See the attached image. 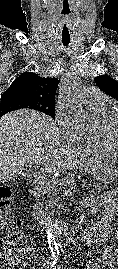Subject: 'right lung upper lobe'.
I'll list each match as a JSON object with an SVG mask.
<instances>
[{
	"instance_id": "cb5924a9",
	"label": "right lung upper lobe",
	"mask_w": 118,
	"mask_h": 269,
	"mask_svg": "<svg viewBox=\"0 0 118 269\" xmlns=\"http://www.w3.org/2000/svg\"><path fill=\"white\" fill-rule=\"evenodd\" d=\"M58 79L42 78L33 72L22 73L3 93L21 94L44 105H54Z\"/></svg>"
}]
</instances>
